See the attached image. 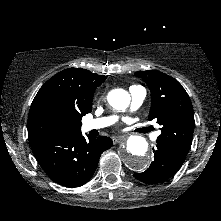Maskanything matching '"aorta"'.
<instances>
[{
  "mask_svg": "<svg viewBox=\"0 0 221 221\" xmlns=\"http://www.w3.org/2000/svg\"><path fill=\"white\" fill-rule=\"evenodd\" d=\"M107 100L114 109L124 111L130 103V95L123 89H114L108 93ZM120 158L129 169L144 171L150 164L148 142L142 136L131 135L121 149Z\"/></svg>",
  "mask_w": 221,
  "mask_h": 221,
  "instance_id": "obj_1",
  "label": "aorta"
}]
</instances>
